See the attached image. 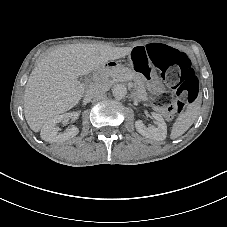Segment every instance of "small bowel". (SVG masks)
I'll return each mask as SVG.
<instances>
[{
	"label": "small bowel",
	"instance_id": "c3829d8e",
	"mask_svg": "<svg viewBox=\"0 0 227 227\" xmlns=\"http://www.w3.org/2000/svg\"><path fill=\"white\" fill-rule=\"evenodd\" d=\"M147 48H148V45H146V46H139V47L135 48L133 51H138L141 54H143L144 56H146V58H147V60L149 62L148 55H147Z\"/></svg>",
	"mask_w": 227,
	"mask_h": 227
}]
</instances>
